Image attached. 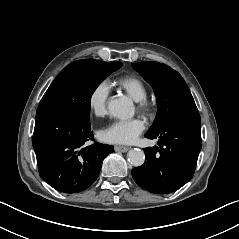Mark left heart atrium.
Masks as SVG:
<instances>
[{
	"instance_id": "39dd6f15",
	"label": "left heart atrium",
	"mask_w": 239,
	"mask_h": 239,
	"mask_svg": "<svg viewBox=\"0 0 239 239\" xmlns=\"http://www.w3.org/2000/svg\"><path fill=\"white\" fill-rule=\"evenodd\" d=\"M145 127V120L139 116L126 120L114 119L100 132V137L108 143L132 144L145 130Z\"/></svg>"
}]
</instances>
